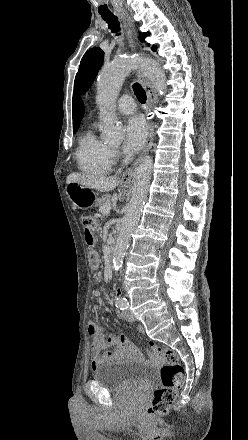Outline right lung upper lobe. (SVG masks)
Segmentation results:
<instances>
[{
    "label": "right lung upper lobe",
    "mask_w": 248,
    "mask_h": 440,
    "mask_svg": "<svg viewBox=\"0 0 248 440\" xmlns=\"http://www.w3.org/2000/svg\"><path fill=\"white\" fill-rule=\"evenodd\" d=\"M83 115H84V107H83L82 101L76 94H74L73 95V108H72L74 130L78 129V127L80 125V121L83 118Z\"/></svg>",
    "instance_id": "cb5924a9"
}]
</instances>
